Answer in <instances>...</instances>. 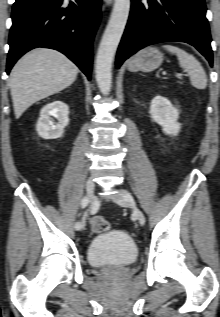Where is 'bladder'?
Masks as SVG:
<instances>
[{
    "instance_id": "obj_1",
    "label": "bladder",
    "mask_w": 220,
    "mask_h": 317,
    "mask_svg": "<svg viewBox=\"0 0 220 317\" xmlns=\"http://www.w3.org/2000/svg\"><path fill=\"white\" fill-rule=\"evenodd\" d=\"M138 249L129 234L111 230L95 236L88 245L87 259L95 267H123L135 262Z\"/></svg>"
}]
</instances>
